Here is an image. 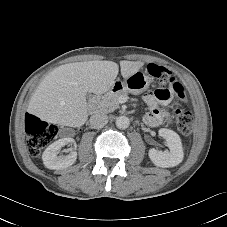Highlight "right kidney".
Instances as JSON below:
<instances>
[{
  "label": "right kidney",
  "mask_w": 227,
  "mask_h": 227,
  "mask_svg": "<svg viewBox=\"0 0 227 227\" xmlns=\"http://www.w3.org/2000/svg\"><path fill=\"white\" fill-rule=\"evenodd\" d=\"M74 144V149L76 144L72 138L66 137L59 139L49 145L42 154L43 163L46 168L52 170L64 169L75 163L77 159V152L72 150L68 155H59L58 151L67 144Z\"/></svg>",
  "instance_id": "ca27d5eb"
}]
</instances>
